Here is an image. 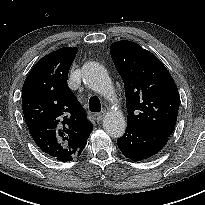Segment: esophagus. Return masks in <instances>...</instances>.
Wrapping results in <instances>:
<instances>
[{
  "label": "esophagus",
  "instance_id": "obj_1",
  "mask_svg": "<svg viewBox=\"0 0 205 205\" xmlns=\"http://www.w3.org/2000/svg\"><path fill=\"white\" fill-rule=\"evenodd\" d=\"M105 114H106V111H101V112L97 113L96 114L97 120L101 121L104 118Z\"/></svg>",
  "mask_w": 205,
  "mask_h": 205
}]
</instances>
